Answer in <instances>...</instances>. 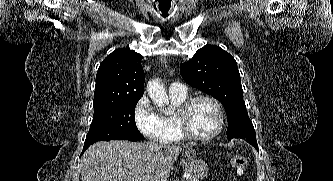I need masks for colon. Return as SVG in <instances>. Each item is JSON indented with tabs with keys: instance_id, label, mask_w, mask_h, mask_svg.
Here are the masks:
<instances>
[{
	"instance_id": "5ec220e1",
	"label": "colon",
	"mask_w": 333,
	"mask_h": 181,
	"mask_svg": "<svg viewBox=\"0 0 333 181\" xmlns=\"http://www.w3.org/2000/svg\"><path fill=\"white\" fill-rule=\"evenodd\" d=\"M231 167L238 173H243L248 165V160L246 157L241 155L232 156L230 159Z\"/></svg>"
}]
</instances>
